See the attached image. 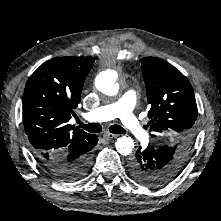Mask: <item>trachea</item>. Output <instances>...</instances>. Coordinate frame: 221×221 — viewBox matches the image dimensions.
Segmentation results:
<instances>
[{
	"instance_id": "3493384b",
	"label": "trachea",
	"mask_w": 221,
	"mask_h": 221,
	"mask_svg": "<svg viewBox=\"0 0 221 221\" xmlns=\"http://www.w3.org/2000/svg\"><path fill=\"white\" fill-rule=\"evenodd\" d=\"M78 123H79L81 128L87 130L88 132L100 133L102 131V126L99 123L83 124L79 120H78ZM109 130L113 134H124V133H126L124 128L121 127L120 125H117V124L110 126Z\"/></svg>"
}]
</instances>
